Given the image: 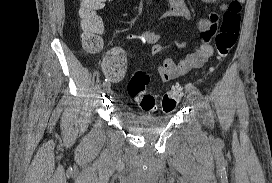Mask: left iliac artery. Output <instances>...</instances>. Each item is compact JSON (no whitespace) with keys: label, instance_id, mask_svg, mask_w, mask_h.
Segmentation results:
<instances>
[{"label":"left iliac artery","instance_id":"left-iliac-artery-1","mask_svg":"<svg viewBox=\"0 0 272 183\" xmlns=\"http://www.w3.org/2000/svg\"><path fill=\"white\" fill-rule=\"evenodd\" d=\"M189 92L191 94L197 95L199 97H203L202 93L197 88H195V87H189Z\"/></svg>","mask_w":272,"mask_h":183}]
</instances>
